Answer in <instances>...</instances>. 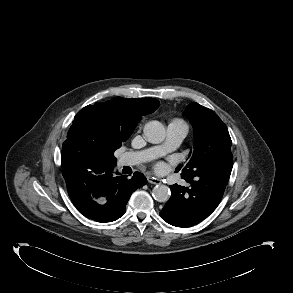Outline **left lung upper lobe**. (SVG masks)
Wrapping results in <instances>:
<instances>
[{
  "label": "left lung upper lobe",
  "mask_w": 293,
  "mask_h": 293,
  "mask_svg": "<svg viewBox=\"0 0 293 293\" xmlns=\"http://www.w3.org/2000/svg\"><path fill=\"white\" fill-rule=\"evenodd\" d=\"M193 124L195 146L190 161L181 174L195 175L201 172L218 173L230 177L233 156L232 141L226 125L211 109L194 102L183 113ZM182 165L178 166L180 170Z\"/></svg>",
  "instance_id": "1"
}]
</instances>
